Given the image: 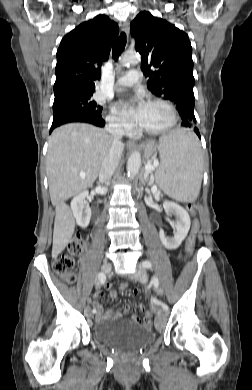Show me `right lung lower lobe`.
<instances>
[{
    "mask_svg": "<svg viewBox=\"0 0 252 390\" xmlns=\"http://www.w3.org/2000/svg\"><path fill=\"white\" fill-rule=\"evenodd\" d=\"M69 122H85L94 124L99 127H103L105 124L102 117L91 116L79 112H64L53 116V123L50 128V133L54 128Z\"/></svg>",
    "mask_w": 252,
    "mask_h": 390,
    "instance_id": "obj_1",
    "label": "right lung lower lobe"
}]
</instances>
